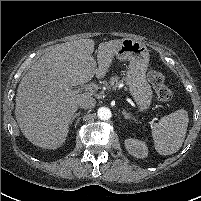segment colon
I'll use <instances>...</instances> for the list:
<instances>
[{
	"mask_svg": "<svg viewBox=\"0 0 201 201\" xmlns=\"http://www.w3.org/2000/svg\"><path fill=\"white\" fill-rule=\"evenodd\" d=\"M148 78L155 89L158 99L161 102H169L173 94L166 86L164 76L158 71H151L148 74Z\"/></svg>",
	"mask_w": 201,
	"mask_h": 201,
	"instance_id": "5ec220e1",
	"label": "colon"
}]
</instances>
